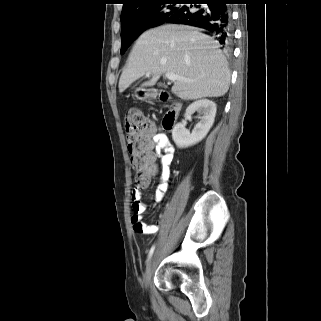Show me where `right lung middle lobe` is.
I'll list each match as a JSON object with an SVG mask.
<instances>
[{"mask_svg":"<svg viewBox=\"0 0 321 321\" xmlns=\"http://www.w3.org/2000/svg\"><path fill=\"white\" fill-rule=\"evenodd\" d=\"M185 0H159L136 13L121 18V54L145 30L164 24L167 19L181 8Z\"/></svg>","mask_w":321,"mask_h":321,"instance_id":"dd1d6c3e","label":"right lung middle lobe"}]
</instances>
